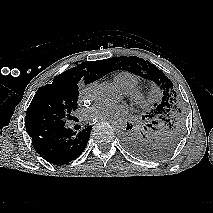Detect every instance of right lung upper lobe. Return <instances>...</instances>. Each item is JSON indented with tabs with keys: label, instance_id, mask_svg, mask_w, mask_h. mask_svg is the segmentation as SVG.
<instances>
[{
	"label": "right lung upper lobe",
	"instance_id": "right-lung-upper-lobe-1",
	"mask_svg": "<svg viewBox=\"0 0 213 213\" xmlns=\"http://www.w3.org/2000/svg\"><path fill=\"white\" fill-rule=\"evenodd\" d=\"M110 71L103 66V60L87 61L56 76L53 82H64L71 78H80L86 83H92ZM52 82V83H53Z\"/></svg>",
	"mask_w": 213,
	"mask_h": 213
}]
</instances>
